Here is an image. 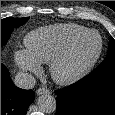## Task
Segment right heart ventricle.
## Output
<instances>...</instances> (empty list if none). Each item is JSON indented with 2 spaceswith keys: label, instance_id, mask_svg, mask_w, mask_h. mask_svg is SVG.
<instances>
[{
  "label": "right heart ventricle",
  "instance_id": "obj_1",
  "mask_svg": "<svg viewBox=\"0 0 115 115\" xmlns=\"http://www.w3.org/2000/svg\"><path fill=\"white\" fill-rule=\"evenodd\" d=\"M88 30L76 23L40 27L25 38L27 51L38 63H50L79 34Z\"/></svg>",
  "mask_w": 115,
  "mask_h": 115
}]
</instances>
